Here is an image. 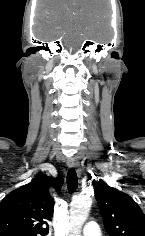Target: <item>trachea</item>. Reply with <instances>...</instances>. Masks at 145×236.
I'll return each instance as SVG.
<instances>
[{"label": "trachea", "mask_w": 145, "mask_h": 236, "mask_svg": "<svg viewBox=\"0 0 145 236\" xmlns=\"http://www.w3.org/2000/svg\"><path fill=\"white\" fill-rule=\"evenodd\" d=\"M67 187L70 193L75 192L78 187V177L75 169H70L67 173Z\"/></svg>", "instance_id": "3493384b"}]
</instances>
